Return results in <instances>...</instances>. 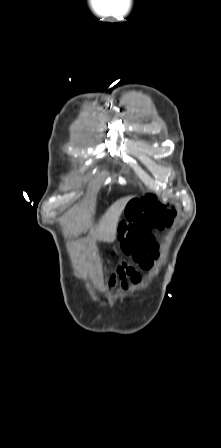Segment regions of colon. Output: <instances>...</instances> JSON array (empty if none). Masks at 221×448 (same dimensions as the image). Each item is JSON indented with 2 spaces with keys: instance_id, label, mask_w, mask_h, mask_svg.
<instances>
[{
  "instance_id": "obj_1",
  "label": "colon",
  "mask_w": 221,
  "mask_h": 448,
  "mask_svg": "<svg viewBox=\"0 0 221 448\" xmlns=\"http://www.w3.org/2000/svg\"><path fill=\"white\" fill-rule=\"evenodd\" d=\"M139 208H142L146 212L148 216L147 220L138 215ZM172 216L173 211L153 196H147L140 204H134L129 208L128 219L132 220L141 232L138 243L135 246L138 250L134 253L133 257L142 267H150L153 262L152 258L156 255V247L152 236L148 233L149 229L151 227L156 230L164 229L170 224ZM118 232L124 234V237L127 238L134 231L128 226L126 221H122L119 224ZM126 276L135 279L132 271H124V277Z\"/></svg>"
}]
</instances>
